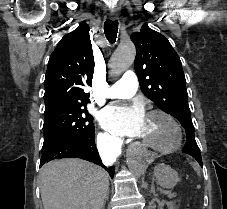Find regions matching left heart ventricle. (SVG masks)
Instances as JSON below:
<instances>
[{"label": "left heart ventricle", "instance_id": "left-heart-ventricle-1", "mask_svg": "<svg viewBox=\"0 0 227 209\" xmlns=\"http://www.w3.org/2000/svg\"><path fill=\"white\" fill-rule=\"evenodd\" d=\"M140 138L159 146L171 145L176 133L173 126L163 117L147 116L144 125L137 133Z\"/></svg>", "mask_w": 227, "mask_h": 209}]
</instances>
